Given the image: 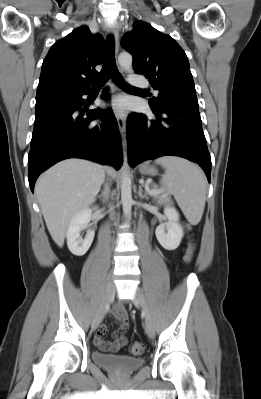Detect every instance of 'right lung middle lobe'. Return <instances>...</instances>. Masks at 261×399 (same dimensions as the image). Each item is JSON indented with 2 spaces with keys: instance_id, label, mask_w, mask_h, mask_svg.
Returning <instances> with one entry per match:
<instances>
[{
  "instance_id": "dd1d6c3e",
  "label": "right lung middle lobe",
  "mask_w": 261,
  "mask_h": 399,
  "mask_svg": "<svg viewBox=\"0 0 261 399\" xmlns=\"http://www.w3.org/2000/svg\"><path fill=\"white\" fill-rule=\"evenodd\" d=\"M54 101H56V100H54ZM50 102H53V101H50ZM50 102H45V103L36 104V107L41 106V105H44V104H47V103H50Z\"/></svg>"
}]
</instances>
